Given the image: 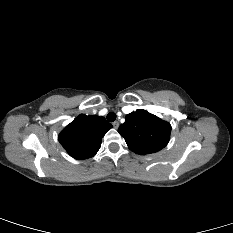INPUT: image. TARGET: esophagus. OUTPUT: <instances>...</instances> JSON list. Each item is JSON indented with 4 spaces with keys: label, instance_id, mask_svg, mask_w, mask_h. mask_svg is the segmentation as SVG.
<instances>
[{
    "label": "esophagus",
    "instance_id": "1",
    "mask_svg": "<svg viewBox=\"0 0 233 233\" xmlns=\"http://www.w3.org/2000/svg\"><path fill=\"white\" fill-rule=\"evenodd\" d=\"M113 127L117 129L119 127V122L118 121L113 122Z\"/></svg>",
    "mask_w": 233,
    "mask_h": 233
}]
</instances>
